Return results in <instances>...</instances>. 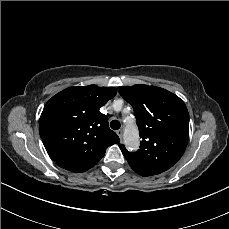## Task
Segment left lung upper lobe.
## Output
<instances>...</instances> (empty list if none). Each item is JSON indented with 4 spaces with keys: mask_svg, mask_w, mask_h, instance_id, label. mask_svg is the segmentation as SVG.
Wrapping results in <instances>:
<instances>
[{
    "mask_svg": "<svg viewBox=\"0 0 229 229\" xmlns=\"http://www.w3.org/2000/svg\"><path fill=\"white\" fill-rule=\"evenodd\" d=\"M132 105L139 128L140 149L119 147L131 168L142 176H153L171 168L183 155L189 138V113L175 94L155 86L118 87Z\"/></svg>",
    "mask_w": 229,
    "mask_h": 229,
    "instance_id": "5c2ea615",
    "label": "left lung upper lobe"
}]
</instances>
